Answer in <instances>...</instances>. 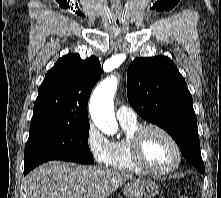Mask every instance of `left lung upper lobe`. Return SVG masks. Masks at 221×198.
<instances>
[{
    "instance_id": "5c2ea615",
    "label": "left lung upper lobe",
    "mask_w": 221,
    "mask_h": 198,
    "mask_svg": "<svg viewBox=\"0 0 221 198\" xmlns=\"http://www.w3.org/2000/svg\"><path fill=\"white\" fill-rule=\"evenodd\" d=\"M127 96L138 114L166 130L186 161L204 173L192 96L173 61L166 56L135 59L127 71Z\"/></svg>"
}]
</instances>
